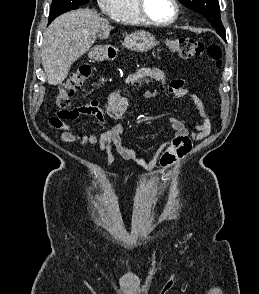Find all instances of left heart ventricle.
Returning <instances> with one entry per match:
<instances>
[{
  "mask_svg": "<svg viewBox=\"0 0 259 294\" xmlns=\"http://www.w3.org/2000/svg\"><path fill=\"white\" fill-rule=\"evenodd\" d=\"M148 15L159 22L170 20L174 15V6L171 0H146Z\"/></svg>",
  "mask_w": 259,
  "mask_h": 294,
  "instance_id": "b2bd125f",
  "label": "left heart ventricle"
}]
</instances>
